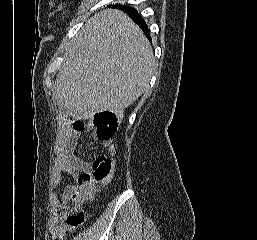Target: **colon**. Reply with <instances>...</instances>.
Returning a JSON list of instances; mask_svg holds the SVG:
<instances>
[{
	"instance_id": "colon-1",
	"label": "colon",
	"mask_w": 257,
	"mask_h": 240,
	"mask_svg": "<svg viewBox=\"0 0 257 240\" xmlns=\"http://www.w3.org/2000/svg\"><path fill=\"white\" fill-rule=\"evenodd\" d=\"M92 123L97 139L103 142L114 136L118 117L112 112H98L94 115ZM67 128L75 134H81L85 130V124L80 120H71ZM112 170V159L105 154H99L91 163L90 171L80 175L73 189L62 197L61 215L70 228H77L84 223L85 214L80 210L81 204L93 196L100 184L110 179Z\"/></svg>"
}]
</instances>
